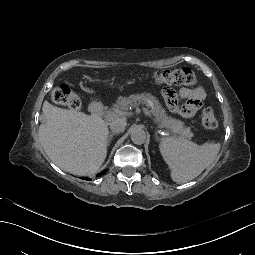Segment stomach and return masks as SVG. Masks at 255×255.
Masks as SVG:
<instances>
[{
	"mask_svg": "<svg viewBox=\"0 0 255 255\" xmlns=\"http://www.w3.org/2000/svg\"><path fill=\"white\" fill-rule=\"evenodd\" d=\"M109 88H110V90H112V91H117V90H119V88H120V83H119V81H117V80H112V81H110V83H109Z\"/></svg>",
	"mask_w": 255,
	"mask_h": 255,
	"instance_id": "1",
	"label": "stomach"
}]
</instances>
